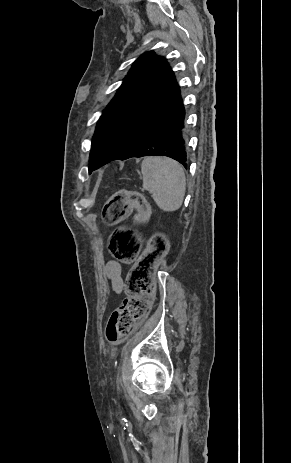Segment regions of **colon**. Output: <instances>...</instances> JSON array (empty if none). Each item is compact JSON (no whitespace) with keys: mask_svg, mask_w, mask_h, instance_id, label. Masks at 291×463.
<instances>
[{"mask_svg":"<svg viewBox=\"0 0 291 463\" xmlns=\"http://www.w3.org/2000/svg\"><path fill=\"white\" fill-rule=\"evenodd\" d=\"M132 210H136L139 222L145 221L150 215V206L141 194L119 190L108 199L103 216L107 222L115 223L127 217ZM140 247L139 235L125 226L117 227L109 239L111 255L122 263L135 261ZM167 248L168 243L163 234H153L149 238L127 276V297L111 314L107 323L106 338L110 343H118L126 338L133 326L148 314L153 297V275Z\"/></svg>","mask_w":291,"mask_h":463,"instance_id":"1","label":"colon"}]
</instances>
